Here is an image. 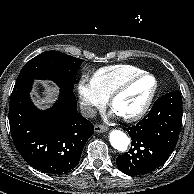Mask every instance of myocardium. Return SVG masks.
<instances>
[{"mask_svg":"<svg viewBox=\"0 0 194 194\" xmlns=\"http://www.w3.org/2000/svg\"><path fill=\"white\" fill-rule=\"evenodd\" d=\"M143 77H151L154 80V88L151 91L146 102L144 103V105L142 106V108L138 112H136L135 114L130 115V116H120L121 119H123L126 122H135V121L142 119L146 115L148 110L150 109V107H151V105H152V103L157 95L158 89H159V82H158V79L156 78V76L150 72H147V71H142L136 75H133V76L127 78L126 80H124L123 82H121L115 88V90L111 93V95L108 98V103H109L110 107L113 108L115 100L120 95H122L126 90H128L132 84H134L136 81L140 80Z\"/></svg>","mask_w":194,"mask_h":194,"instance_id":"f54148a6","label":"myocardium"}]
</instances>
